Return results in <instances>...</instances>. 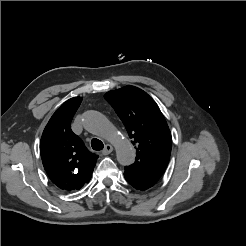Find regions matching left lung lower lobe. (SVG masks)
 <instances>
[{
  "label": "left lung lower lobe",
  "instance_id": "0a47b994",
  "mask_svg": "<svg viewBox=\"0 0 246 246\" xmlns=\"http://www.w3.org/2000/svg\"><path fill=\"white\" fill-rule=\"evenodd\" d=\"M124 177L132 187L141 191L153 187L157 182L149 178L148 176L129 167H125Z\"/></svg>",
  "mask_w": 246,
  "mask_h": 246
}]
</instances>
